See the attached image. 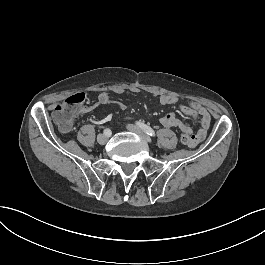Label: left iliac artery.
<instances>
[{"instance_id": "44dca946", "label": "left iliac artery", "mask_w": 265, "mask_h": 265, "mask_svg": "<svg viewBox=\"0 0 265 265\" xmlns=\"http://www.w3.org/2000/svg\"><path fill=\"white\" fill-rule=\"evenodd\" d=\"M142 130H144L148 135L152 136V137H155V131L147 126L146 124L142 123V122H137L136 123Z\"/></svg>"}]
</instances>
